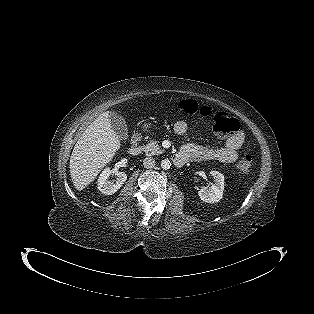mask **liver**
Masks as SVG:
<instances>
[{
    "label": "liver",
    "instance_id": "obj_1",
    "mask_svg": "<svg viewBox=\"0 0 314 314\" xmlns=\"http://www.w3.org/2000/svg\"><path fill=\"white\" fill-rule=\"evenodd\" d=\"M121 146L113 131L110 112L100 114L84 131L70 157V175L79 191L87 187Z\"/></svg>",
    "mask_w": 314,
    "mask_h": 314
}]
</instances>
